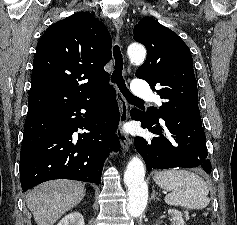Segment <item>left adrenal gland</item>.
I'll list each match as a JSON object with an SVG mask.
<instances>
[{
	"label": "left adrenal gland",
	"instance_id": "left-adrenal-gland-1",
	"mask_svg": "<svg viewBox=\"0 0 237 225\" xmlns=\"http://www.w3.org/2000/svg\"><path fill=\"white\" fill-rule=\"evenodd\" d=\"M151 199H153V200H160V199L156 196V193H155L154 190H153V192H152Z\"/></svg>",
	"mask_w": 237,
	"mask_h": 225
}]
</instances>
